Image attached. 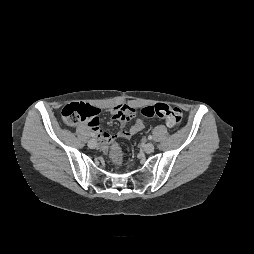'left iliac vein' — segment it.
<instances>
[{
  "label": "left iliac vein",
  "mask_w": 254,
  "mask_h": 254,
  "mask_svg": "<svg viewBox=\"0 0 254 254\" xmlns=\"http://www.w3.org/2000/svg\"><path fill=\"white\" fill-rule=\"evenodd\" d=\"M153 150H154V144H153V143L148 142V143H146V144L144 145V151H145L146 153H151V152H153Z\"/></svg>",
  "instance_id": "4c4485c4"
}]
</instances>
